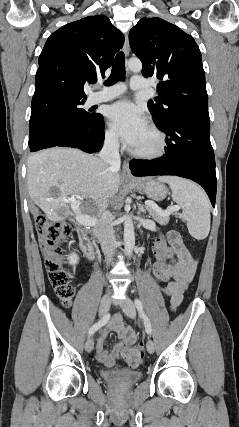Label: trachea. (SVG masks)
<instances>
[{
	"mask_svg": "<svg viewBox=\"0 0 239 427\" xmlns=\"http://www.w3.org/2000/svg\"><path fill=\"white\" fill-rule=\"evenodd\" d=\"M125 56L123 52H119L114 60L110 77L105 81L106 86L115 84L119 80L125 79Z\"/></svg>",
	"mask_w": 239,
	"mask_h": 427,
	"instance_id": "1",
	"label": "trachea"
}]
</instances>
